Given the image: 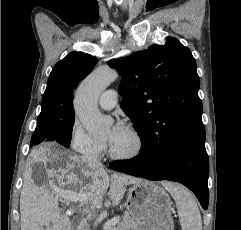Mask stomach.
Returning <instances> with one entry per match:
<instances>
[{"mask_svg": "<svg viewBox=\"0 0 241 230\" xmlns=\"http://www.w3.org/2000/svg\"><path fill=\"white\" fill-rule=\"evenodd\" d=\"M126 209L138 222L137 230H174L171 199L152 182L131 185L127 190Z\"/></svg>", "mask_w": 241, "mask_h": 230, "instance_id": "1", "label": "stomach"}]
</instances>
